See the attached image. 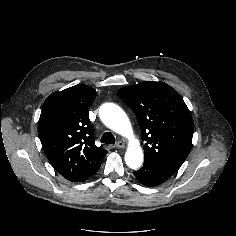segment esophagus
Masks as SVG:
<instances>
[{"instance_id":"1","label":"esophagus","mask_w":236,"mask_h":236,"mask_svg":"<svg viewBox=\"0 0 236 236\" xmlns=\"http://www.w3.org/2000/svg\"><path fill=\"white\" fill-rule=\"evenodd\" d=\"M116 148L120 149V148H124L125 147V144L124 142L122 141H118L115 145Z\"/></svg>"}]
</instances>
